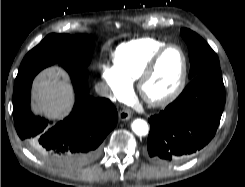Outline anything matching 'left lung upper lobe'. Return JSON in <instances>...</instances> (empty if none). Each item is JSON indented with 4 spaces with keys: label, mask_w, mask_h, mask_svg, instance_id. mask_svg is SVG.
Wrapping results in <instances>:
<instances>
[{
    "label": "left lung upper lobe",
    "mask_w": 245,
    "mask_h": 187,
    "mask_svg": "<svg viewBox=\"0 0 245 187\" xmlns=\"http://www.w3.org/2000/svg\"><path fill=\"white\" fill-rule=\"evenodd\" d=\"M181 35L188 45L190 59L189 77L219 67V59L212 48L195 32L183 28Z\"/></svg>",
    "instance_id": "1"
}]
</instances>
